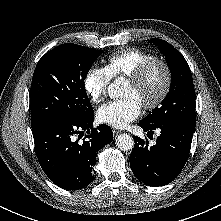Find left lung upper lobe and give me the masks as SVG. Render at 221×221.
Masks as SVG:
<instances>
[{
  "label": "left lung upper lobe",
  "mask_w": 221,
  "mask_h": 221,
  "mask_svg": "<svg viewBox=\"0 0 221 221\" xmlns=\"http://www.w3.org/2000/svg\"><path fill=\"white\" fill-rule=\"evenodd\" d=\"M149 42L158 46L159 50L165 55L171 71V86L161 106L155 108L142 121L151 126L173 121L196 125L195 90L192 74L185 58L164 40L153 38Z\"/></svg>",
  "instance_id": "left-lung-upper-lobe-1"
}]
</instances>
